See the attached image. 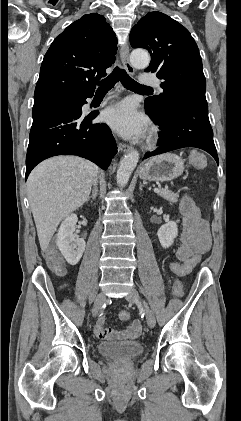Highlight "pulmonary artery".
Here are the masks:
<instances>
[{"label":"pulmonary artery","instance_id":"e3ab8cb5","mask_svg":"<svg viewBox=\"0 0 241 421\" xmlns=\"http://www.w3.org/2000/svg\"><path fill=\"white\" fill-rule=\"evenodd\" d=\"M141 83L144 85L155 86L158 89H160V81L156 77H153V76L143 77L141 79Z\"/></svg>","mask_w":241,"mask_h":421}]
</instances>
